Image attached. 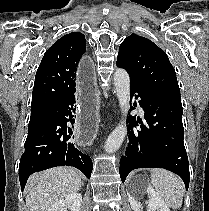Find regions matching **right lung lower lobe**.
I'll list each match as a JSON object with an SVG mask.
<instances>
[{"label": "right lung lower lobe", "mask_w": 209, "mask_h": 211, "mask_svg": "<svg viewBox=\"0 0 209 211\" xmlns=\"http://www.w3.org/2000/svg\"><path fill=\"white\" fill-rule=\"evenodd\" d=\"M74 103V94L58 101L28 131L25 151L19 164L22 190L32 173L56 166L76 167L90 178L93 167L91 158L76 148L72 141L74 135L69 127V124L73 125L75 122Z\"/></svg>", "instance_id": "right-lung-lower-lobe-1"}]
</instances>
